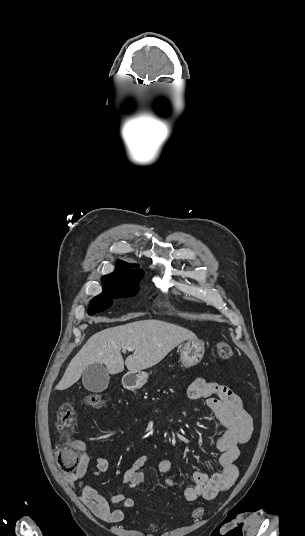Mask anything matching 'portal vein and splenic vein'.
Returning a JSON list of instances; mask_svg holds the SVG:
<instances>
[{
	"label": "portal vein and splenic vein",
	"mask_w": 305,
	"mask_h": 536,
	"mask_svg": "<svg viewBox=\"0 0 305 536\" xmlns=\"http://www.w3.org/2000/svg\"><path fill=\"white\" fill-rule=\"evenodd\" d=\"M127 350L128 352H133L134 348H128V346H124L122 352H127Z\"/></svg>",
	"instance_id": "portal-vein-and-splenic-vein-1"
}]
</instances>
